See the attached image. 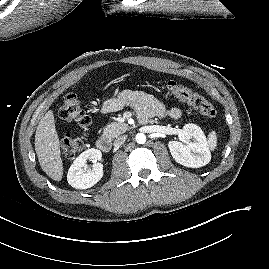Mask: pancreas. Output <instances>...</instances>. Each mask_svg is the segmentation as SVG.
<instances>
[{"label": "pancreas", "instance_id": "cf45deb5", "mask_svg": "<svg viewBox=\"0 0 269 269\" xmlns=\"http://www.w3.org/2000/svg\"><path fill=\"white\" fill-rule=\"evenodd\" d=\"M128 129V125L126 123H117L112 122L104 128L103 136L108 139H112L123 134Z\"/></svg>", "mask_w": 269, "mask_h": 269}]
</instances>
